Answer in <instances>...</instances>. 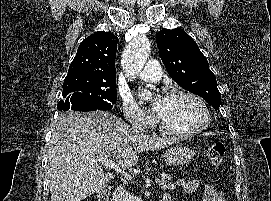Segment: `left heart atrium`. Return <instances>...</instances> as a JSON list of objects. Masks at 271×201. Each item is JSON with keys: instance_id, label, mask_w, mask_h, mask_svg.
<instances>
[{"instance_id": "1", "label": "left heart atrium", "mask_w": 271, "mask_h": 201, "mask_svg": "<svg viewBox=\"0 0 271 201\" xmlns=\"http://www.w3.org/2000/svg\"><path fill=\"white\" fill-rule=\"evenodd\" d=\"M161 102H162V98L155 99V101L153 103V108L157 109L160 106Z\"/></svg>"}]
</instances>
